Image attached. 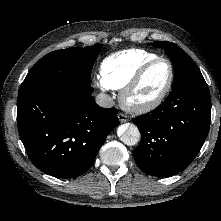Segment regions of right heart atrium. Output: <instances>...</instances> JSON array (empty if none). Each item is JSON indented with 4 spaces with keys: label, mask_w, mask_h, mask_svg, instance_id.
<instances>
[{
    "label": "right heart atrium",
    "mask_w": 221,
    "mask_h": 221,
    "mask_svg": "<svg viewBox=\"0 0 221 221\" xmlns=\"http://www.w3.org/2000/svg\"><path fill=\"white\" fill-rule=\"evenodd\" d=\"M95 82H96L97 86H98L99 88H101L102 90H107V89H109V88L107 87V85L103 82V80L101 79V77H96Z\"/></svg>",
    "instance_id": "right-heart-atrium-1"
}]
</instances>
